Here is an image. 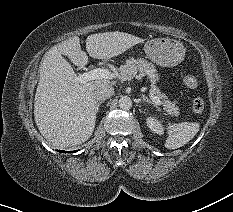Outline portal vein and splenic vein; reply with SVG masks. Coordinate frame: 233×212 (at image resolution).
<instances>
[{"instance_id": "18ae733b", "label": "portal vein and splenic vein", "mask_w": 233, "mask_h": 212, "mask_svg": "<svg viewBox=\"0 0 233 212\" xmlns=\"http://www.w3.org/2000/svg\"><path fill=\"white\" fill-rule=\"evenodd\" d=\"M114 77L115 75L111 73L109 70H106L104 68H96L79 75L75 80L78 83H86L91 80L113 79ZM149 96L155 104L161 105V100L157 96H155L153 93H150Z\"/></svg>"}]
</instances>
